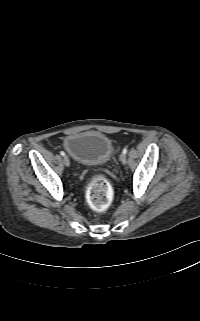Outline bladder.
<instances>
[{"mask_svg": "<svg viewBox=\"0 0 200 321\" xmlns=\"http://www.w3.org/2000/svg\"><path fill=\"white\" fill-rule=\"evenodd\" d=\"M63 146L75 161L84 165L103 164L113 152L111 139L96 130L71 133L65 137Z\"/></svg>", "mask_w": 200, "mask_h": 321, "instance_id": "bladder-1", "label": "bladder"}]
</instances>
